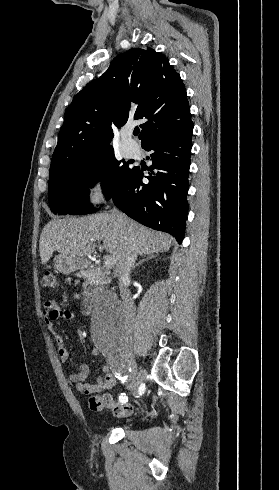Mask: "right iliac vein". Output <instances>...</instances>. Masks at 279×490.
Instances as JSON below:
<instances>
[{"instance_id": "63e3f726", "label": "right iliac vein", "mask_w": 279, "mask_h": 490, "mask_svg": "<svg viewBox=\"0 0 279 490\" xmlns=\"http://www.w3.org/2000/svg\"><path fill=\"white\" fill-rule=\"evenodd\" d=\"M120 360L124 361L125 363H127L129 365V368H130L129 369V382L133 384L136 381L137 376H138V369H137L138 367H137L135 360L131 356V353L123 354L122 356H120Z\"/></svg>"}]
</instances>
